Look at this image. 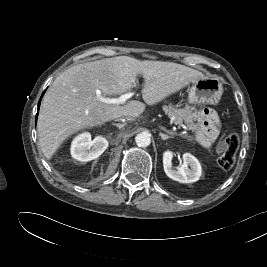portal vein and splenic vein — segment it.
<instances>
[{"mask_svg":"<svg viewBox=\"0 0 267 267\" xmlns=\"http://www.w3.org/2000/svg\"><path fill=\"white\" fill-rule=\"evenodd\" d=\"M96 95L101 101H103L105 103H109V104H124L129 98H131L134 95V93L133 92H129V93L121 95L118 98H108V97L106 98V97H102L101 96V92L99 90H97L96 91ZM180 126L186 131L189 130L188 127L185 126L184 124H180Z\"/></svg>","mask_w":267,"mask_h":267,"instance_id":"1","label":"portal vein and splenic vein"}]
</instances>
